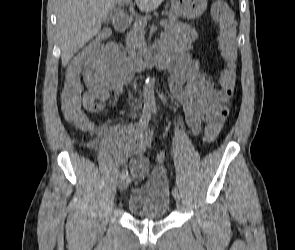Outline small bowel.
I'll return each instance as SVG.
<instances>
[{
  "mask_svg": "<svg viewBox=\"0 0 295 250\" xmlns=\"http://www.w3.org/2000/svg\"><path fill=\"white\" fill-rule=\"evenodd\" d=\"M196 39L195 30L178 25L164 34L159 47L168 56L164 69L168 72L170 91L182 106L189 128L194 134H199L203 123L224 121L229 110L223 91L201 73L198 61L190 53ZM120 53L118 46L110 43L95 54L82 50L69 63L66 77L83 78V104L87 110L112 105L123 92L127 82L121 81L116 75ZM147 140L142 128L124 127L114 132L115 151L122 158L129 154L134 156L130 169L136 178L143 177L149 170V162L144 156ZM161 158L163 155L159 156Z\"/></svg>",
  "mask_w": 295,
  "mask_h": 250,
  "instance_id": "obj_1",
  "label": "small bowel"
}]
</instances>
